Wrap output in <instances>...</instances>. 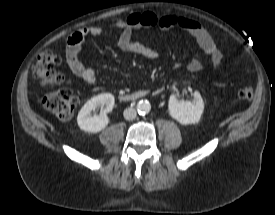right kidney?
I'll return each instance as SVG.
<instances>
[{
  "mask_svg": "<svg viewBox=\"0 0 275 215\" xmlns=\"http://www.w3.org/2000/svg\"><path fill=\"white\" fill-rule=\"evenodd\" d=\"M114 103V96L110 93L99 94L88 100L78 113L77 123L80 129L91 133L103 130L109 123L107 113L112 111ZM97 106H101L100 114L91 116V111H95Z\"/></svg>",
  "mask_w": 275,
  "mask_h": 215,
  "instance_id": "right-kidney-1",
  "label": "right kidney"
}]
</instances>
